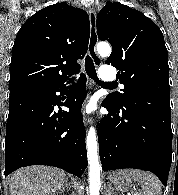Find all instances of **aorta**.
I'll use <instances>...</instances> for the list:
<instances>
[{"mask_svg": "<svg viewBox=\"0 0 178 195\" xmlns=\"http://www.w3.org/2000/svg\"><path fill=\"white\" fill-rule=\"evenodd\" d=\"M97 51L101 56H109L111 54V46L106 42H100L97 45ZM86 146L89 163V183L90 195H99L101 183L100 173L101 165L98 156V144L96 131L91 127L86 137Z\"/></svg>", "mask_w": 178, "mask_h": 195, "instance_id": "obj_1", "label": "aorta"}]
</instances>
